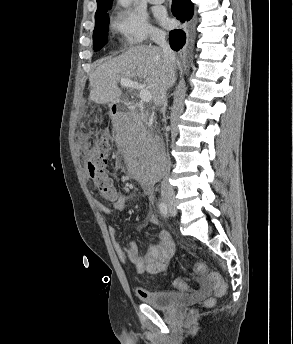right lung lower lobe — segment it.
Listing matches in <instances>:
<instances>
[{"label": "right lung lower lobe", "instance_id": "1", "mask_svg": "<svg viewBox=\"0 0 293 344\" xmlns=\"http://www.w3.org/2000/svg\"><path fill=\"white\" fill-rule=\"evenodd\" d=\"M194 5L191 0H173L172 13L181 22L189 21L193 17ZM170 46L179 51L185 44L186 33L183 30H172L169 34Z\"/></svg>", "mask_w": 293, "mask_h": 344}]
</instances>
